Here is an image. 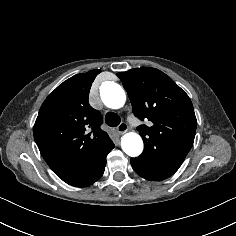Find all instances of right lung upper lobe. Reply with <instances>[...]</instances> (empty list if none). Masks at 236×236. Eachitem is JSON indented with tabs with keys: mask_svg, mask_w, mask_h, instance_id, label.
I'll list each match as a JSON object with an SVG mask.
<instances>
[{
	"mask_svg": "<svg viewBox=\"0 0 236 236\" xmlns=\"http://www.w3.org/2000/svg\"><path fill=\"white\" fill-rule=\"evenodd\" d=\"M100 72L91 70L67 79L39 110L34 139L56 174L91 166L113 144L100 129V112L88 103L92 82Z\"/></svg>",
	"mask_w": 236,
	"mask_h": 236,
	"instance_id": "right-lung-upper-lobe-1",
	"label": "right lung upper lobe"
}]
</instances>
